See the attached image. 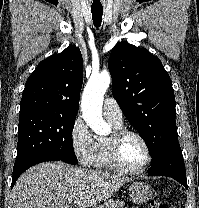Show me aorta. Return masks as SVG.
Masks as SVG:
<instances>
[{
	"label": "aorta",
	"instance_id": "obj_1",
	"mask_svg": "<svg viewBox=\"0 0 199 208\" xmlns=\"http://www.w3.org/2000/svg\"><path fill=\"white\" fill-rule=\"evenodd\" d=\"M111 82L107 71L92 75L85 86L82 95V114L87 125L97 135H106L110 132V126L102 117L103 96Z\"/></svg>",
	"mask_w": 199,
	"mask_h": 208
}]
</instances>
